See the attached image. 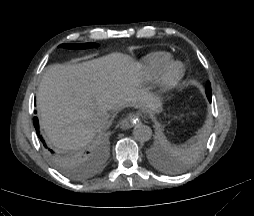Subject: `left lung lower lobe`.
I'll return each instance as SVG.
<instances>
[{
    "label": "left lung lower lobe",
    "instance_id": "obj_1",
    "mask_svg": "<svg viewBox=\"0 0 254 216\" xmlns=\"http://www.w3.org/2000/svg\"><path fill=\"white\" fill-rule=\"evenodd\" d=\"M208 100L211 102V96L210 97L208 96Z\"/></svg>",
    "mask_w": 254,
    "mask_h": 216
}]
</instances>
